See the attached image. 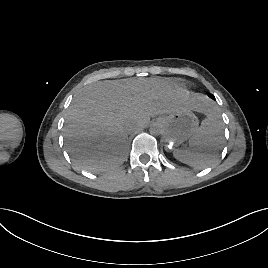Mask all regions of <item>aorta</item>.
Segmentation results:
<instances>
[{"mask_svg": "<svg viewBox=\"0 0 268 268\" xmlns=\"http://www.w3.org/2000/svg\"><path fill=\"white\" fill-rule=\"evenodd\" d=\"M149 131H150V134H152V135H159L162 132V128L159 125H157V124H153L150 127V130Z\"/></svg>", "mask_w": 268, "mask_h": 268, "instance_id": "obj_1", "label": "aorta"}]
</instances>
